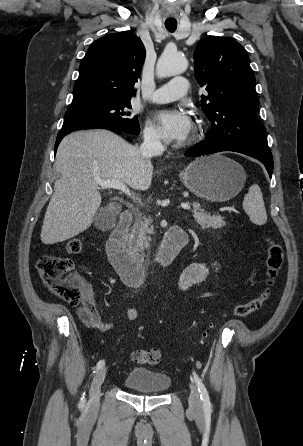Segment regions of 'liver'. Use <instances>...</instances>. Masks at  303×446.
Instances as JSON below:
<instances>
[{"label": "liver", "mask_w": 303, "mask_h": 446, "mask_svg": "<svg viewBox=\"0 0 303 446\" xmlns=\"http://www.w3.org/2000/svg\"><path fill=\"white\" fill-rule=\"evenodd\" d=\"M55 165L61 178L54 183L44 217V244L71 239L91 226L101 204L97 179L118 180L144 191L150 187L153 175L150 158L107 130L78 131L64 137Z\"/></svg>", "instance_id": "liver-1"}]
</instances>
